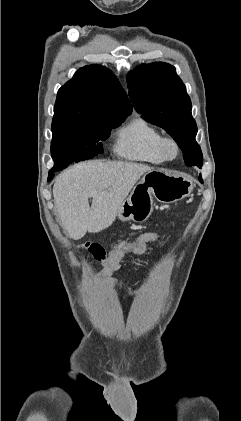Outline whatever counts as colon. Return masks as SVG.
Returning <instances> with one entry per match:
<instances>
[{
    "label": "colon",
    "mask_w": 241,
    "mask_h": 421,
    "mask_svg": "<svg viewBox=\"0 0 241 421\" xmlns=\"http://www.w3.org/2000/svg\"><path fill=\"white\" fill-rule=\"evenodd\" d=\"M83 246L94 257V259L101 261L105 258L106 252L100 243L87 242ZM145 250L146 245L140 244L137 241H118L112 245L111 252L125 255L127 253L141 254L145 252Z\"/></svg>",
    "instance_id": "1"
}]
</instances>
